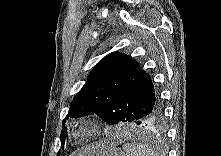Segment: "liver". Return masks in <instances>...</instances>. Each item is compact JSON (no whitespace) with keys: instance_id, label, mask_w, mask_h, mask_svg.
Masks as SVG:
<instances>
[{"instance_id":"6515ba94","label":"liver","mask_w":221,"mask_h":156,"mask_svg":"<svg viewBox=\"0 0 221 156\" xmlns=\"http://www.w3.org/2000/svg\"><path fill=\"white\" fill-rule=\"evenodd\" d=\"M104 148H105V145L92 146V147L87 148L85 154L94 155L98 150H102Z\"/></svg>"}]
</instances>
